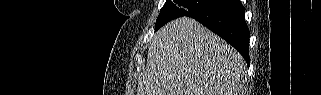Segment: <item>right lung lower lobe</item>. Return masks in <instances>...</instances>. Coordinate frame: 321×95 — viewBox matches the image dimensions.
Listing matches in <instances>:
<instances>
[{"mask_svg":"<svg viewBox=\"0 0 321 95\" xmlns=\"http://www.w3.org/2000/svg\"><path fill=\"white\" fill-rule=\"evenodd\" d=\"M230 43L250 65L248 53L249 29L245 21V8L240 0H211L187 15Z\"/></svg>","mask_w":321,"mask_h":95,"instance_id":"1","label":"right lung lower lobe"}]
</instances>
